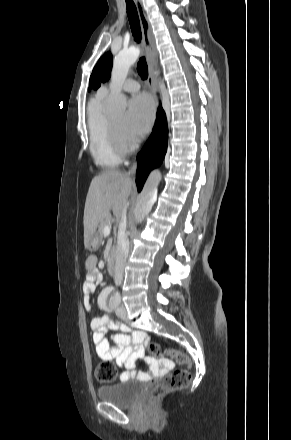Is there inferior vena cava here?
<instances>
[{
	"label": "inferior vena cava",
	"instance_id": "inferior-vena-cava-1",
	"mask_svg": "<svg viewBox=\"0 0 291 440\" xmlns=\"http://www.w3.org/2000/svg\"><path fill=\"white\" fill-rule=\"evenodd\" d=\"M136 164L134 163L131 169L129 170V174L135 173ZM126 210L123 212L121 216V221L119 223V231H118V245L116 250V261H115V275L114 280L117 286L121 285L124 274V267L126 264V260L129 253V239L126 235Z\"/></svg>",
	"mask_w": 291,
	"mask_h": 440
}]
</instances>
